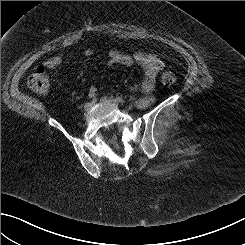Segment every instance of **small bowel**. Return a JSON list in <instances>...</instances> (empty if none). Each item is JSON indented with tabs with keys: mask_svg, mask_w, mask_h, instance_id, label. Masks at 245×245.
Instances as JSON below:
<instances>
[{
	"mask_svg": "<svg viewBox=\"0 0 245 245\" xmlns=\"http://www.w3.org/2000/svg\"><path fill=\"white\" fill-rule=\"evenodd\" d=\"M91 52H86L89 55ZM64 57L63 55L54 56L45 61L44 66L51 70L59 69ZM107 63L110 65L119 64L124 66H131L137 64L142 67L144 76L143 79L129 87L133 92L149 93L155 87V82L158 74L162 71L163 62L152 54H146L142 51H135L131 54H123L116 50H112L108 53ZM97 92L96 87L92 86L89 89V95L95 96Z\"/></svg>",
	"mask_w": 245,
	"mask_h": 245,
	"instance_id": "1",
	"label": "small bowel"
}]
</instances>
